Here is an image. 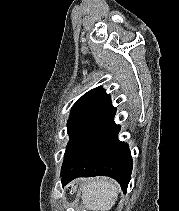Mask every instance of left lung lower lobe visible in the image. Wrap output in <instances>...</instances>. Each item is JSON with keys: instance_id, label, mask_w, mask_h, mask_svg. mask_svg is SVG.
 Returning a JSON list of instances; mask_svg holds the SVG:
<instances>
[{"instance_id": "0a47b994", "label": "left lung lower lobe", "mask_w": 179, "mask_h": 211, "mask_svg": "<svg viewBox=\"0 0 179 211\" xmlns=\"http://www.w3.org/2000/svg\"><path fill=\"white\" fill-rule=\"evenodd\" d=\"M115 113L111 104L89 129L73 158L61 170L63 186L77 177L103 175L117 180L126 193L132 157L128 145L118 140L120 126L113 120Z\"/></svg>"}]
</instances>
